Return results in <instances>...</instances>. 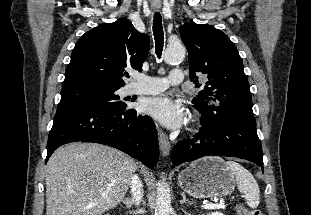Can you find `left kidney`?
<instances>
[{
  "instance_id": "5707ae66",
  "label": "left kidney",
  "mask_w": 311,
  "mask_h": 215,
  "mask_svg": "<svg viewBox=\"0 0 311 215\" xmlns=\"http://www.w3.org/2000/svg\"><path fill=\"white\" fill-rule=\"evenodd\" d=\"M207 215H223V214H222V213L215 212V213H211V214H207Z\"/></svg>"
}]
</instances>
